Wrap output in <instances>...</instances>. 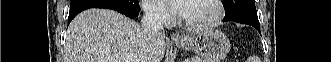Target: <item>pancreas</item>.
<instances>
[{
	"mask_svg": "<svg viewBox=\"0 0 331 62\" xmlns=\"http://www.w3.org/2000/svg\"><path fill=\"white\" fill-rule=\"evenodd\" d=\"M191 62H204V61L199 57H192Z\"/></svg>",
	"mask_w": 331,
	"mask_h": 62,
	"instance_id": "1",
	"label": "pancreas"
}]
</instances>
